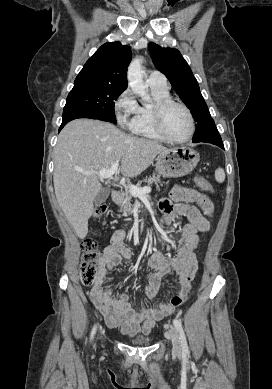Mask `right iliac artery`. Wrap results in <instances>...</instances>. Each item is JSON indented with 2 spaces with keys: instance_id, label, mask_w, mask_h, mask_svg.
<instances>
[{
  "instance_id": "obj_1",
  "label": "right iliac artery",
  "mask_w": 272,
  "mask_h": 389,
  "mask_svg": "<svg viewBox=\"0 0 272 389\" xmlns=\"http://www.w3.org/2000/svg\"><path fill=\"white\" fill-rule=\"evenodd\" d=\"M96 326H94L93 327V329H92V332H91V335H90V339L92 340L93 339V337H94V334H95V332H96Z\"/></svg>"
}]
</instances>
